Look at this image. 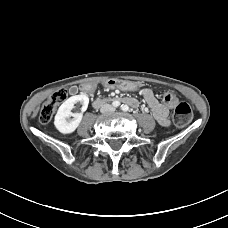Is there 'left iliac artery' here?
Here are the masks:
<instances>
[{
	"label": "left iliac artery",
	"instance_id": "left-iliac-artery-1",
	"mask_svg": "<svg viewBox=\"0 0 228 228\" xmlns=\"http://www.w3.org/2000/svg\"><path fill=\"white\" fill-rule=\"evenodd\" d=\"M123 111H128L129 107L127 105H121Z\"/></svg>",
	"mask_w": 228,
	"mask_h": 228
}]
</instances>
